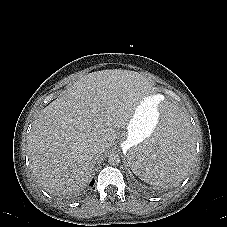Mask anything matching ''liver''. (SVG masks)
Segmentation results:
<instances>
[{"label": "liver", "instance_id": "6515ba94", "mask_svg": "<svg viewBox=\"0 0 227 227\" xmlns=\"http://www.w3.org/2000/svg\"><path fill=\"white\" fill-rule=\"evenodd\" d=\"M144 84V77L133 71L92 72L41 111L28 150L32 172L46 191L74 195L89 184L98 158L115 143L117 131L127 126L145 96ZM98 144H105L104 151L96 153Z\"/></svg>", "mask_w": 227, "mask_h": 227}]
</instances>
